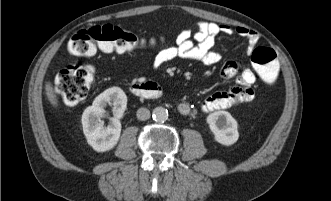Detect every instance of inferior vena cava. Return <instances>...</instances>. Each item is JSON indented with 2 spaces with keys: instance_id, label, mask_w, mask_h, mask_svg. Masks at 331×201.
I'll return each mask as SVG.
<instances>
[{
  "instance_id": "1",
  "label": "inferior vena cava",
  "mask_w": 331,
  "mask_h": 201,
  "mask_svg": "<svg viewBox=\"0 0 331 201\" xmlns=\"http://www.w3.org/2000/svg\"><path fill=\"white\" fill-rule=\"evenodd\" d=\"M137 118L141 121L148 120L151 116L150 111L147 108H139L136 114Z\"/></svg>"
}]
</instances>
